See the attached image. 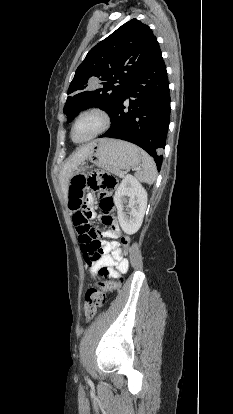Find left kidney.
<instances>
[{"instance_id":"5707ae66","label":"left kidney","mask_w":233,"mask_h":414,"mask_svg":"<svg viewBox=\"0 0 233 414\" xmlns=\"http://www.w3.org/2000/svg\"><path fill=\"white\" fill-rule=\"evenodd\" d=\"M114 203L122 230L128 235L135 234L142 225L146 211V190L135 177L126 175L115 192Z\"/></svg>"}]
</instances>
